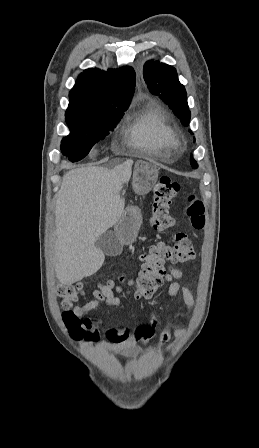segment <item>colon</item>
<instances>
[{"mask_svg": "<svg viewBox=\"0 0 259 448\" xmlns=\"http://www.w3.org/2000/svg\"><path fill=\"white\" fill-rule=\"evenodd\" d=\"M179 191L180 185L169 177H162L156 183L151 208V222L155 230L166 232L175 226L171 203ZM187 215L194 229H203L205 207L195 195L188 198ZM194 255L190 239L184 233H174L171 243H159L141 255V269L137 277L131 279L121 277L120 280L127 285L129 292L136 298H149L163 283L166 261L185 263L192 260ZM107 286L111 289L116 288L112 282H109ZM82 292L80 283L64 285L58 290L62 305L67 309L63 314V321L74 339H80L86 335L82 320L70 310Z\"/></svg>", "mask_w": 259, "mask_h": 448, "instance_id": "colon-1", "label": "colon"}]
</instances>
